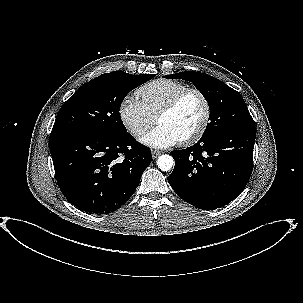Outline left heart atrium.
Listing matches in <instances>:
<instances>
[{
	"label": "left heart atrium",
	"instance_id": "1",
	"mask_svg": "<svg viewBox=\"0 0 303 303\" xmlns=\"http://www.w3.org/2000/svg\"><path fill=\"white\" fill-rule=\"evenodd\" d=\"M179 141L178 135L162 124L153 128L142 138L144 144L154 148H166L177 144Z\"/></svg>",
	"mask_w": 303,
	"mask_h": 303
}]
</instances>
